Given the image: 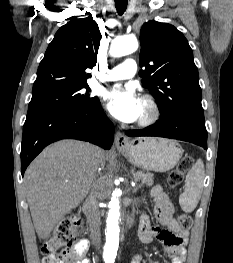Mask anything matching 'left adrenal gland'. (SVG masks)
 I'll return each mask as SVG.
<instances>
[{
  "label": "left adrenal gland",
  "instance_id": "a2214340",
  "mask_svg": "<svg viewBox=\"0 0 233 263\" xmlns=\"http://www.w3.org/2000/svg\"><path fill=\"white\" fill-rule=\"evenodd\" d=\"M140 188H141V185L136 186V187L133 189V193H136Z\"/></svg>",
  "mask_w": 233,
  "mask_h": 263
}]
</instances>
